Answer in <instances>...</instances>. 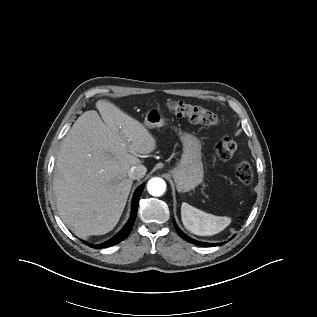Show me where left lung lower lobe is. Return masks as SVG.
Segmentation results:
<instances>
[{
    "instance_id": "0a47b994",
    "label": "left lung lower lobe",
    "mask_w": 317,
    "mask_h": 317,
    "mask_svg": "<svg viewBox=\"0 0 317 317\" xmlns=\"http://www.w3.org/2000/svg\"><path fill=\"white\" fill-rule=\"evenodd\" d=\"M174 226H175V229L177 231V233L180 235V237H182L184 240L194 244V245H197V246H205V247H213V246H218V245H223L225 244V242H222V243H205V242H200V241H197V240H194L190 237H188L185 233H183L176 225V223L174 222Z\"/></svg>"
}]
</instances>
